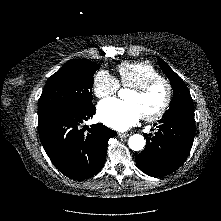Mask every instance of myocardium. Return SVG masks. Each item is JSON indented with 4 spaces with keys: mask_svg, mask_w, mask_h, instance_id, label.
Here are the masks:
<instances>
[{
    "mask_svg": "<svg viewBox=\"0 0 221 221\" xmlns=\"http://www.w3.org/2000/svg\"><path fill=\"white\" fill-rule=\"evenodd\" d=\"M158 85L164 86V88L166 90L165 100H164L163 104L161 105V107L156 112L151 113V114H143L142 115V118L145 121H149V122L156 121L165 115V113L169 109L172 99H173L172 85L170 84V82L167 79H165L163 77H159V78L151 79L141 85H138V86H135L132 88V90L134 92H136L137 94L143 95V94L148 93L151 89H153L154 87H156Z\"/></svg>",
    "mask_w": 221,
    "mask_h": 221,
    "instance_id": "myocardium-1",
    "label": "myocardium"
}]
</instances>
